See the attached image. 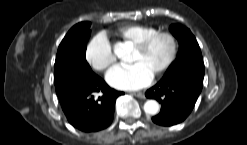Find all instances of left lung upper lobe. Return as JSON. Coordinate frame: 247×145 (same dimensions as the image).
<instances>
[{"instance_id":"left-lung-upper-lobe-1","label":"left lung upper lobe","mask_w":247,"mask_h":145,"mask_svg":"<svg viewBox=\"0 0 247 145\" xmlns=\"http://www.w3.org/2000/svg\"><path fill=\"white\" fill-rule=\"evenodd\" d=\"M170 31L179 41V52L167 72L185 64H203L200 47L191 31L179 24L171 25Z\"/></svg>"}]
</instances>
